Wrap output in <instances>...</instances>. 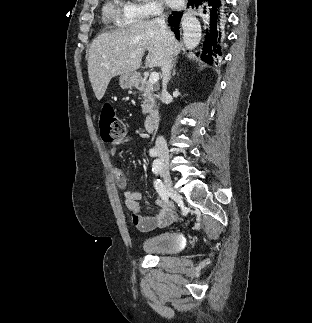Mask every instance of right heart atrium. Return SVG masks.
<instances>
[{"label":"right heart atrium","mask_w":312,"mask_h":323,"mask_svg":"<svg viewBox=\"0 0 312 323\" xmlns=\"http://www.w3.org/2000/svg\"><path fill=\"white\" fill-rule=\"evenodd\" d=\"M131 6H124L120 10V17H128L129 22H150V17H157L164 13V6L160 2H144V0H131Z\"/></svg>","instance_id":"1"}]
</instances>
